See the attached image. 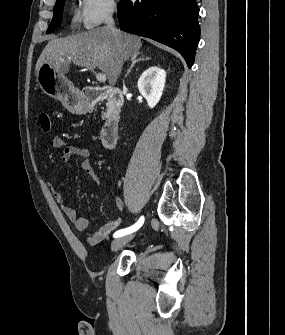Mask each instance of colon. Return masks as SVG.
Instances as JSON below:
<instances>
[{
  "label": "colon",
  "mask_w": 285,
  "mask_h": 335,
  "mask_svg": "<svg viewBox=\"0 0 285 335\" xmlns=\"http://www.w3.org/2000/svg\"><path fill=\"white\" fill-rule=\"evenodd\" d=\"M39 124L43 132L48 133L51 130V119L47 113H41L39 115Z\"/></svg>",
  "instance_id": "obj_1"
}]
</instances>
